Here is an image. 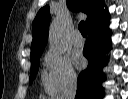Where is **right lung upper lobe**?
Wrapping results in <instances>:
<instances>
[{
    "label": "right lung upper lobe",
    "instance_id": "1",
    "mask_svg": "<svg viewBox=\"0 0 128 99\" xmlns=\"http://www.w3.org/2000/svg\"><path fill=\"white\" fill-rule=\"evenodd\" d=\"M67 6L72 11H82L87 14L86 24H90L100 13L104 11L103 0H66ZM51 20L49 7L39 10L33 22V40L31 45V58L41 55L45 49L49 23Z\"/></svg>",
    "mask_w": 128,
    "mask_h": 99
}]
</instances>
